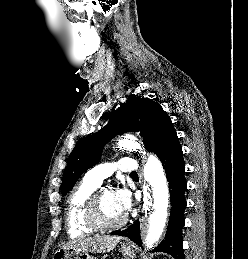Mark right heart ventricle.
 <instances>
[{"instance_id":"right-heart-ventricle-1","label":"right heart ventricle","mask_w":248,"mask_h":259,"mask_svg":"<svg viewBox=\"0 0 248 259\" xmlns=\"http://www.w3.org/2000/svg\"><path fill=\"white\" fill-rule=\"evenodd\" d=\"M99 185L83 179L71 192L66 210V226L70 236L80 237L96 230L86 220L87 202Z\"/></svg>"}]
</instances>
